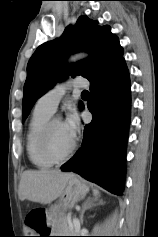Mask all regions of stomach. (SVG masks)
I'll use <instances>...</instances> for the list:
<instances>
[{"label": "stomach", "mask_w": 158, "mask_h": 237, "mask_svg": "<svg viewBox=\"0 0 158 237\" xmlns=\"http://www.w3.org/2000/svg\"><path fill=\"white\" fill-rule=\"evenodd\" d=\"M89 191L87 184L77 177L71 178L58 202L49 209V216L54 219H60L66 212L73 208L79 201L85 198Z\"/></svg>", "instance_id": "obj_1"}]
</instances>
